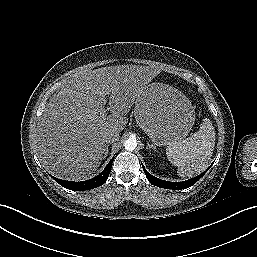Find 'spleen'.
I'll return each mask as SVG.
<instances>
[{
    "mask_svg": "<svg viewBox=\"0 0 257 257\" xmlns=\"http://www.w3.org/2000/svg\"><path fill=\"white\" fill-rule=\"evenodd\" d=\"M215 146L213 124L203 119L200 130L185 140L175 142L166 149L169 161L178 167L180 177H193L209 165Z\"/></svg>",
    "mask_w": 257,
    "mask_h": 257,
    "instance_id": "1",
    "label": "spleen"
}]
</instances>
